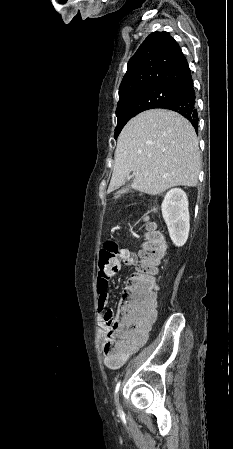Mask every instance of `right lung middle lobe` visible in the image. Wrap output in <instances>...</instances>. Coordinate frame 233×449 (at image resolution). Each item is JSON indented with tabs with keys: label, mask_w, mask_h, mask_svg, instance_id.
I'll return each instance as SVG.
<instances>
[{
	"label": "right lung middle lobe",
	"mask_w": 233,
	"mask_h": 449,
	"mask_svg": "<svg viewBox=\"0 0 233 449\" xmlns=\"http://www.w3.org/2000/svg\"><path fill=\"white\" fill-rule=\"evenodd\" d=\"M179 95L180 91L176 87L156 85L119 97L116 109L117 127L114 137L116 138L120 134L125 124L135 115L148 109L157 108Z\"/></svg>",
	"instance_id": "right-lung-middle-lobe-1"
}]
</instances>
